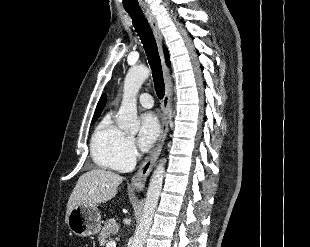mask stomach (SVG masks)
I'll use <instances>...</instances> for the list:
<instances>
[{"label": "stomach", "instance_id": "stomach-1", "mask_svg": "<svg viewBox=\"0 0 310 247\" xmlns=\"http://www.w3.org/2000/svg\"><path fill=\"white\" fill-rule=\"evenodd\" d=\"M66 223L73 234L88 237L100 231L101 215L95 205H79L72 208Z\"/></svg>", "mask_w": 310, "mask_h": 247}]
</instances>
